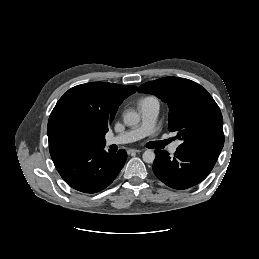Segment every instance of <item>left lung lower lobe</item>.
I'll return each mask as SVG.
<instances>
[{
    "label": "left lung lower lobe",
    "mask_w": 259,
    "mask_h": 259,
    "mask_svg": "<svg viewBox=\"0 0 259 259\" xmlns=\"http://www.w3.org/2000/svg\"><path fill=\"white\" fill-rule=\"evenodd\" d=\"M221 150L197 146L177 148L173 158L165 150H155L153 171L174 189H187L202 182L213 169Z\"/></svg>",
    "instance_id": "1"
}]
</instances>
